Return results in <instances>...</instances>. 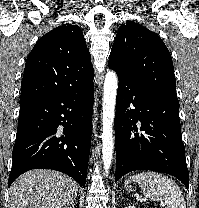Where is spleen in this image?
<instances>
[{
	"label": "spleen",
	"mask_w": 199,
	"mask_h": 208,
	"mask_svg": "<svg viewBox=\"0 0 199 208\" xmlns=\"http://www.w3.org/2000/svg\"><path fill=\"white\" fill-rule=\"evenodd\" d=\"M130 182H137L141 185L145 199L163 201L167 208H186L180 187L168 176L148 171L130 176L125 181V185Z\"/></svg>",
	"instance_id": "1"
}]
</instances>
